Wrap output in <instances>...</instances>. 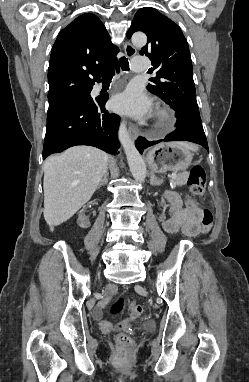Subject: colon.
I'll return each mask as SVG.
<instances>
[{
    "mask_svg": "<svg viewBox=\"0 0 249 382\" xmlns=\"http://www.w3.org/2000/svg\"><path fill=\"white\" fill-rule=\"evenodd\" d=\"M190 187V194L187 195L185 203L186 207L189 209H195L198 206L197 198L204 193L206 186V173L203 167L194 166L189 172V177L187 181ZM213 224V214L210 209L205 208L202 210V232H208ZM124 307L123 297H117L109 306L108 311L111 315H118ZM132 315L134 317L143 318L145 317V309L136 305L132 308ZM103 329L111 327L110 323L103 322L101 324ZM116 341L121 348L130 349L133 345L132 339L126 333H119L116 336Z\"/></svg>",
    "mask_w": 249,
    "mask_h": 382,
    "instance_id": "5ec220e1",
    "label": "colon"
}]
</instances>
